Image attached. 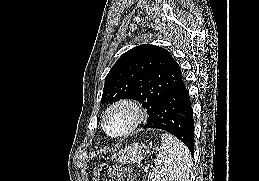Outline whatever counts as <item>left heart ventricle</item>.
Wrapping results in <instances>:
<instances>
[{"mask_svg": "<svg viewBox=\"0 0 259 181\" xmlns=\"http://www.w3.org/2000/svg\"><path fill=\"white\" fill-rule=\"evenodd\" d=\"M130 120L131 114L128 110H116L108 118V129L112 133L121 132L129 125Z\"/></svg>", "mask_w": 259, "mask_h": 181, "instance_id": "1", "label": "left heart ventricle"}]
</instances>
